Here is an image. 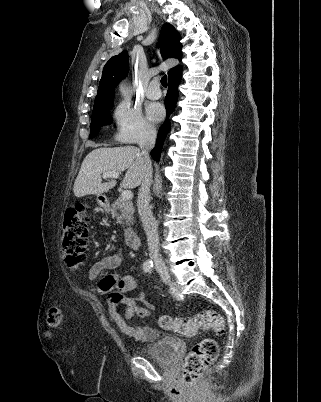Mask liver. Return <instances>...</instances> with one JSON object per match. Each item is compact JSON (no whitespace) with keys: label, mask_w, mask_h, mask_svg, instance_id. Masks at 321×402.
Masks as SVG:
<instances>
[{"label":"liver","mask_w":321,"mask_h":402,"mask_svg":"<svg viewBox=\"0 0 321 402\" xmlns=\"http://www.w3.org/2000/svg\"><path fill=\"white\" fill-rule=\"evenodd\" d=\"M127 170L120 184L122 188L138 187L145 175V162L135 146L100 147L91 151L83 160L73 191L76 197L101 195L116 185V180L102 183L101 175Z\"/></svg>","instance_id":"1"}]
</instances>
